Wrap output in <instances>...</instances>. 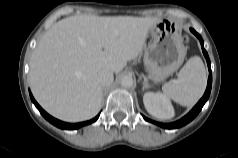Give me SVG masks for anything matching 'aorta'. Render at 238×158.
<instances>
[{
	"label": "aorta",
	"mask_w": 238,
	"mask_h": 158,
	"mask_svg": "<svg viewBox=\"0 0 238 158\" xmlns=\"http://www.w3.org/2000/svg\"><path fill=\"white\" fill-rule=\"evenodd\" d=\"M121 85L125 88H130L133 85V78L131 76H124L121 79Z\"/></svg>",
	"instance_id": "obj_1"
}]
</instances>
